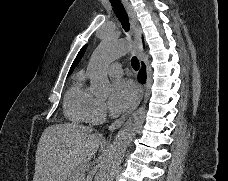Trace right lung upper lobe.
<instances>
[{
    "label": "right lung upper lobe",
    "instance_id": "1",
    "mask_svg": "<svg viewBox=\"0 0 228 181\" xmlns=\"http://www.w3.org/2000/svg\"><path fill=\"white\" fill-rule=\"evenodd\" d=\"M86 46H83L82 49L80 50V52L78 53L76 59L74 60L71 68H70V71L68 73V75H70L72 72H73V69L75 68V66L78 64V62L80 61L81 57L83 56L84 52H85V49H86Z\"/></svg>",
    "mask_w": 228,
    "mask_h": 181
}]
</instances>
